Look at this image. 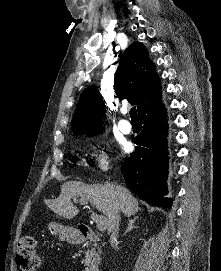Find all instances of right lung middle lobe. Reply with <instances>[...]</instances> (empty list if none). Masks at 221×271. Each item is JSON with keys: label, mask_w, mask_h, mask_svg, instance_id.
<instances>
[{"label": "right lung middle lobe", "mask_w": 221, "mask_h": 271, "mask_svg": "<svg viewBox=\"0 0 221 271\" xmlns=\"http://www.w3.org/2000/svg\"><path fill=\"white\" fill-rule=\"evenodd\" d=\"M96 133H98V132H96ZM96 133H90V134H88V136H91V135L96 134Z\"/></svg>", "instance_id": "dd1d6c3e"}]
</instances>
